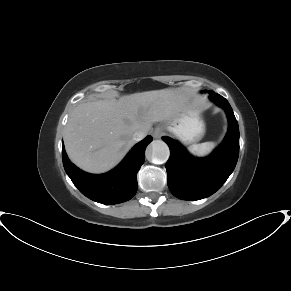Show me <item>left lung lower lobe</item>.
<instances>
[{
  "label": "left lung lower lobe",
  "mask_w": 291,
  "mask_h": 291,
  "mask_svg": "<svg viewBox=\"0 0 291 291\" xmlns=\"http://www.w3.org/2000/svg\"><path fill=\"white\" fill-rule=\"evenodd\" d=\"M210 99L226 111L229 128L223 143L206 158H195L177 141L162 137L170 148L166 163L168 187L183 200H199L215 193L233 172L239 155V127L228 101L209 91Z\"/></svg>",
  "instance_id": "obj_1"
}]
</instances>
